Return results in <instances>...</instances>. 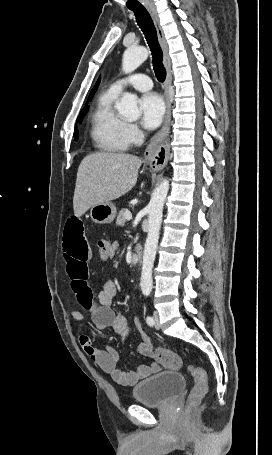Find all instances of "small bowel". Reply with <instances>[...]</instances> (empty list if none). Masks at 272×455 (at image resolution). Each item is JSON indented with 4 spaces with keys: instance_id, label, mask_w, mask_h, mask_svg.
<instances>
[{
    "instance_id": "obj_1",
    "label": "small bowel",
    "mask_w": 272,
    "mask_h": 455,
    "mask_svg": "<svg viewBox=\"0 0 272 455\" xmlns=\"http://www.w3.org/2000/svg\"><path fill=\"white\" fill-rule=\"evenodd\" d=\"M117 250L118 244L110 243V257H113ZM63 253L71 289L80 307L71 312L73 320L81 324L84 320V313H88L99 330L111 329L121 340H124L129 334V326L126 318L116 314L112 307L113 298L117 293L115 282L112 279H105L97 302L93 299L88 271L92 252L85 236L84 223L78 217L68 219L65 224ZM136 326L143 338V342L138 347L139 354L147 358L152 357L153 345L149 337L143 331L138 320H136ZM79 343L87 356L123 387L133 386L160 370L158 363H152L150 365L141 364L136 370L125 372L118 367L119 354L115 349L108 346L98 349L85 334L80 335Z\"/></svg>"
}]
</instances>
